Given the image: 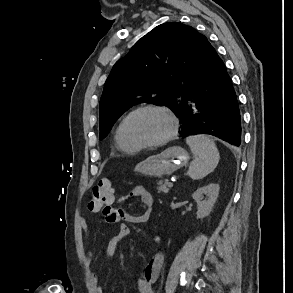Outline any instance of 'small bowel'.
<instances>
[{
  "instance_id": "obj_1",
  "label": "small bowel",
  "mask_w": 293,
  "mask_h": 293,
  "mask_svg": "<svg viewBox=\"0 0 293 293\" xmlns=\"http://www.w3.org/2000/svg\"><path fill=\"white\" fill-rule=\"evenodd\" d=\"M131 197L139 198L145 205V211L140 215L130 214L122 209L114 207V197L112 204L103 211L104 217L109 223H119L118 233L113 236L105 249V253L108 257L115 255L118 244L130 233L129 224L131 223H144L150 219V216L154 209L153 198L149 191L142 187H135L129 194ZM82 230L85 238V242L89 243L90 232L86 222H82ZM153 239L156 243H160V237L157 234L153 235ZM93 260V252L88 248L85 252V262L88 266L91 265ZM164 264V254L158 252L151 259V261L145 266L141 276L138 279V288L140 293H155L154 284L159 278L162 267ZM91 281L98 291V293H104V289L99 285V279L96 275L91 276Z\"/></svg>"
}]
</instances>
